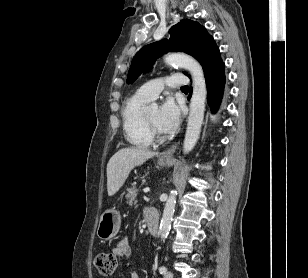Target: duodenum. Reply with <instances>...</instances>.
Listing matches in <instances>:
<instances>
[{
  "mask_svg": "<svg viewBox=\"0 0 308 278\" xmlns=\"http://www.w3.org/2000/svg\"><path fill=\"white\" fill-rule=\"evenodd\" d=\"M145 218L147 221L148 231L152 236L158 234V218L153 210H148L145 213Z\"/></svg>",
  "mask_w": 308,
  "mask_h": 278,
  "instance_id": "duodenum-1",
  "label": "duodenum"
}]
</instances>
